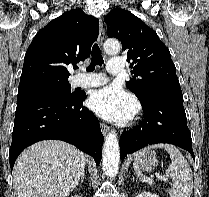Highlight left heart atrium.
Returning <instances> with one entry per match:
<instances>
[{"label":"left heart atrium","instance_id":"39dd6f15","mask_svg":"<svg viewBox=\"0 0 209 197\" xmlns=\"http://www.w3.org/2000/svg\"><path fill=\"white\" fill-rule=\"evenodd\" d=\"M89 107L100 117L118 123L129 121L136 113L134 99L117 86L94 91L89 98Z\"/></svg>","mask_w":209,"mask_h":197}]
</instances>
